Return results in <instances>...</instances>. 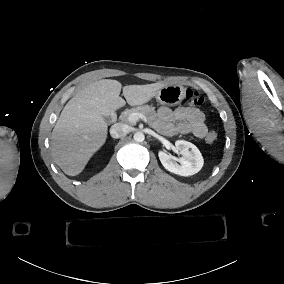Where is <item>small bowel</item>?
Segmentation results:
<instances>
[{
  "mask_svg": "<svg viewBox=\"0 0 284 284\" xmlns=\"http://www.w3.org/2000/svg\"><path fill=\"white\" fill-rule=\"evenodd\" d=\"M159 129L167 136L193 134L203 138L207 134L204 113L196 108L162 106L157 110Z\"/></svg>",
  "mask_w": 284,
  "mask_h": 284,
  "instance_id": "c3829d8e",
  "label": "small bowel"
}]
</instances>
